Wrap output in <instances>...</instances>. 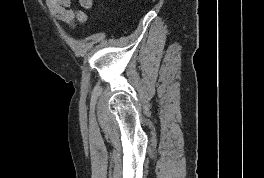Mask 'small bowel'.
I'll list each match as a JSON object with an SVG mask.
<instances>
[{
  "instance_id": "c3829d8e",
  "label": "small bowel",
  "mask_w": 264,
  "mask_h": 178,
  "mask_svg": "<svg viewBox=\"0 0 264 178\" xmlns=\"http://www.w3.org/2000/svg\"><path fill=\"white\" fill-rule=\"evenodd\" d=\"M52 15L68 24L85 23L87 14L83 10H75L72 0H45Z\"/></svg>"
}]
</instances>
